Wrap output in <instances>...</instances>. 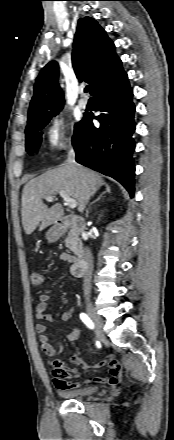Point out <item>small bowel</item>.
<instances>
[{
  "label": "small bowel",
  "instance_id": "small-bowel-1",
  "mask_svg": "<svg viewBox=\"0 0 174 440\" xmlns=\"http://www.w3.org/2000/svg\"><path fill=\"white\" fill-rule=\"evenodd\" d=\"M61 259L63 261H70V256L67 254H62ZM49 307V296L42 294L39 297V303L36 307V316L40 322L36 325V330L39 333V342L43 352L48 357H55L63 350V346H59L56 349L50 342L48 335L46 334L47 325L46 322H50L53 319L52 314L48 311ZM74 309L71 308L69 311L62 315V320L66 321L73 315ZM80 335V330L78 327H73L71 331L66 335L69 341L76 340ZM68 363L74 366H81L82 368H108V374L106 377H94L92 381L96 384L108 383L112 386L116 385L120 376V365L116 361L113 354H109L105 359L93 364L88 365L83 361L80 354L76 353L67 358ZM53 370V381L57 388L60 389H76L81 386V383L76 379L79 377V371L77 369L68 368L65 363L61 360H54L52 364Z\"/></svg>",
  "mask_w": 174,
  "mask_h": 440
}]
</instances>
